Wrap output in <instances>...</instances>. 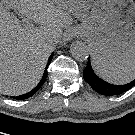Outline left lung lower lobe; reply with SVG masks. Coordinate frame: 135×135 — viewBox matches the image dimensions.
Listing matches in <instances>:
<instances>
[{
	"label": "left lung lower lobe",
	"mask_w": 135,
	"mask_h": 135,
	"mask_svg": "<svg viewBox=\"0 0 135 135\" xmlns=\"http://www.w3.org/2000/svg\"><path fill=\"white\" fill-rule=\"evenodd\" d=\"M86 82L98 93L106 96L120 95L135 86V80L124 85H113L100 79L93 71L88 60L86 69L83 71Z\"/></svg>",
	"instance_id": "obj_1"
}]
</instances>
